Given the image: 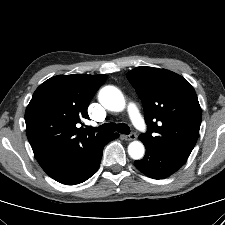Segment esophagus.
Returning <instances> with one entry per match:
<instances>
[{
    "label": "esophagus",
    "mask_w": 225,
    "mask_h": 225,
    "mask_svg": "<svg viewBox=\"0 0 225 225\" xmlns=\"http://www.w3.org/2000/svg\"><path fill=\"white\" fill-rule=\"evenodd\" d=\"M136 134L135 133H131L129 135H122V138L125 139L126 141H132L136 139Z\"/></svg>",
    "instance_id": "esophagus-1"
}]
</instances>
